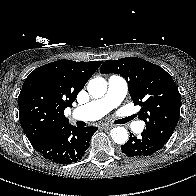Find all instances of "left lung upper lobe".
<instances>
[{
  "label": "left lung upper lobe",
  "instance_id": "left-lung-upper-lobe-1",
  "mask_svg": "<svg viewBox=\"0 0 196 196\" xmlns=\"http://www.w3.org/2000/svg\"><path fill=\"white\" fill-rule=\"evenodd\" d=\"M101 73L124 77L135 105L141 106L138 118L145 132L163 143L170 139L179 119L181 97L172 77L158 65L137 57L105 61Z\"/></svg>",
  "mask_w": 196,
  "mask_h": 196
}]
</instances>
